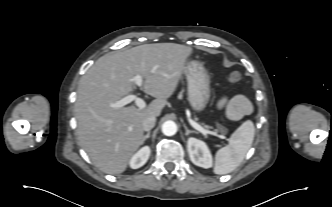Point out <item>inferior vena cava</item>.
I'll use <instances>...</instances> for the list:
<instances>
[{"label": "inferior vena cava", "mask_w": 332, "mask_h": 207, "mask_svg": "<svg viewBox=\"0 0 332 207\" xmlns=\"http://www.w3.org/2000/svg\"><path fill=\"white\" fill-rule=\"evenodd\" d=\"M156 122L155 116H149L144 119L142 127L144 131H150L154 126Z\"/></svg>", "instance_id": "1"}]
</instances>
